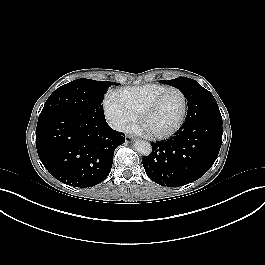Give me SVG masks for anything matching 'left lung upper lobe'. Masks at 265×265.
I'll use <instances>...</instances> for the list:
<instances>
[{"label":"left lung upper lobe","mask_w":265,"mask_h":265,"mask_svg":"<svg viewBox=\"0 0 265 265\" xmlns=\"http://www.w3.org/2000/svg\"><path fill=\"white\" fill-rule=\"evenodd\" d=\"M161 83L172 85L178 88L183 93V95L185 96L187 100H189L194 89L203 88L195 80L190 79V78H183V77L172 79V80H161Z\"/></svg>","instance_id":"obj_1"}]
</instances>
